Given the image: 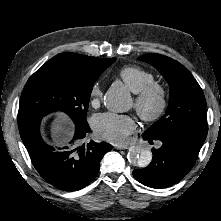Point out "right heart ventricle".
Wrapping results in <instances>:
<instances>
[{"label": "right heart ventricle", "mask_w": 221, "mask_h": 221, "mask_svg": "<svg viewBox=\"0 0 221 221\" xmlns=\"http://www.w3.org/2000/svg\"><path fill=\"white\" fill-rule=\"evenodd\" d=\"M118 74L133 93L139 92L154 80L152 73L137 66H125Z\"/></svg>", "instance_id": "e07e8e85"}]
</instances>
